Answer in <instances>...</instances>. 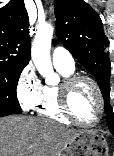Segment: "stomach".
I'll list each match as a JSON object with an SVG mask.
<instances>
[{"label": "stomach", "mask_w": 114, "mask_h": 156, "mask_svg": "<svg viewBox=\"0 0 114 156\" xmlns=\"http://www.w3.org/2000/svg\"><path fill=\"white\" fill-rule=\"evenodd\" d=\"M59 156H109L106 138L97 131H80Z\"/></svg>", "instance_id": "0dacf381"}]
</instances>
